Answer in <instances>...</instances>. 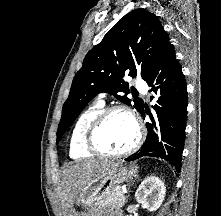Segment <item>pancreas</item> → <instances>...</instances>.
I'll use <instances>...</instances> for the list:
<instances>
[{
    "label": "pancreas",
    "instance_id": "pancreas-1",
    "mask_svg": "<svg viewBox=\"0 0 221 216\" xmlns=\"http://www.w3.org/2000/svg\"><path fill=\"white\" fill-rule=\"evenodd\" d=\"M102 205H116L118 207H122L125 204V197L122 194L121 187H115L111 191L109 195H107L103 201L101 202Z\"/></svg>",
    "mask_w": 221,
    "mask_h": 216
}]
</instances>
